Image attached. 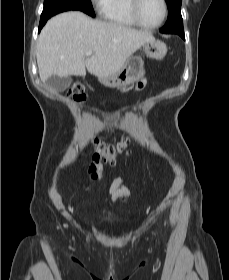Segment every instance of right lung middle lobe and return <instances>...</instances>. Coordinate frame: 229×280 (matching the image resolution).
<instances>
[{
  "label": "right lung middle lobe",
  "instance_id": "dd1d6c3e",
  "mask_svg": "<svg viewBox=\"0 0 229 280\" xmlns=\"http://www.w3.org/2000/svg\"><path fill=\"white\" fill-rule=\"evenodd\" d=\"M68 10L82 11L95 17L91 0H44V8L41 16L50 18L57 13Z\"/></svg>",
  "mask_w": 229,
  "mask_h": 280
}]
</instances>
